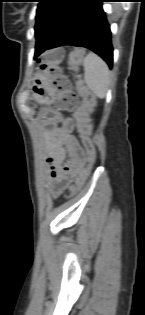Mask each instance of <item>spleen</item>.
<instances>
[{
	"label": "spleen",
	"instance_id": "3e777b00",
	"mask_svg": "<svg viewBox=\"0 0 145 315\" xmlns=\"http://www.w3.org/2000/svg\"><path fill=\"white\" fill-rule=\"evenodd\" d=\"M84 81L100 99L106 97L110 73L107 64L95 53L89 52L83 59Z\"/></svg>",
	"mask_w": 145,
	"mask_h": 315
}]
</instances>
